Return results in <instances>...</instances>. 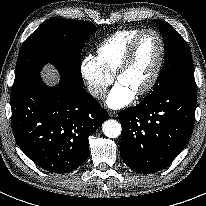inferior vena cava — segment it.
Returning a JSON list of instances; mask_svg holds the SVG:
<instances>
[{
  "mask_svg": "<svg viewBox=\"0 0 206 206\" xmlns=\"http://www.w3.org/2000/svg\"><path fill=\"white\" fill-rule=\"evenodd\" d=\"M89 92L96 98H104L107 93V90L106 88H102L100 86H91L89 88Z\"/></svg>",
  "mask_w": 206,
  "mask_h": 206,
  "instance_id": "inferior-vena-cava-1",
  "label": "inferior vena cava"
}]
</instances>
